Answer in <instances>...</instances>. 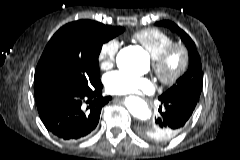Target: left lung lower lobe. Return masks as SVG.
<instances>
[{
	"mask_svg": "<svg viewBox=\"0 0 240 160\" xmlns=\"http://www.w3.org/2000/svg\"><path fill=\"white\" fill-rule=\"evenodd\" d=\"M164 106L159 108L160 115L155 125H140L138 132L151 141L162 142L176 136L192 115L197 103L182 97L160 96Z\"/></svg>",
	"mask_w": 240,
	"mask_h": 160,
	"instance_id": "left-lung-lower-lobe-1",
	"label": "left lung lower lobe"
}]
</instances>
